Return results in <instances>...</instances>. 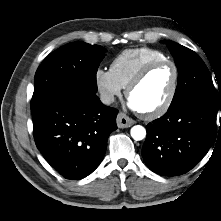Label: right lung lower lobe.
Here are the masks:
<instances>
[{
    "label": "right lung lower lobe",
    "instance_id": "98d812e1",
    "mask_svg": "<svg viewBox=\"0 0 221 221\" xmlns=\"http://www.w3.org/2000/svg\"><path fill=\"white\" fill-rule=\"evenodd\" d=\"M118 111L96 94L69 88L46 99L32 112L35 143L61 176L80 180L102 161Z\"/></svg>",
    "mask_w": 221,
    "mask_h": 221
}]
</instances>
